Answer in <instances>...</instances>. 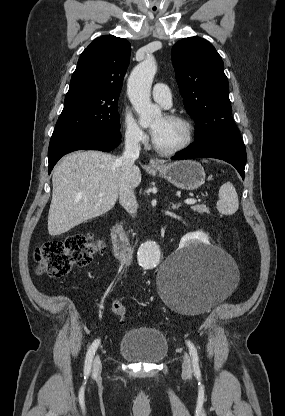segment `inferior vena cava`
I'll use <instances>...</instances> for the list:
<instances>
[{"label":"inferior vena cava","instance_id":"602c4592","mask_svg":"<svg viewBox=\"0 0 285 416\" xmlns=\"http://www.w3.org/2000/svg\"><path fill=\"white\" fill-rule=\"evenodd\" d=\"M140 150L139 138L136 132L133 134V132H128L127 130L125 134V150L123 156L117 160L121 170L119 200L121 206L125 208L128 214H132V216H135L138 204L136 202L134 188L129 186L128 180L131 168H133L135 160L139 158Z\"/></svg>","mask_w":285,"mask_h":416}]
</instances>
